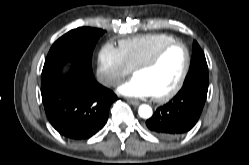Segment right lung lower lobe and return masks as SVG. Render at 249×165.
Here are the masks:
<instances>
[{
    "mask_svg": "<svg viewBox=\"0 0 249 165\" xmlns=\"http://www.w3.org/2000/svg\"><path fill=\"white\" fill-rule=\"evenodd\" d=\"M63 64H44L41 95L45 112L61 135L75 140L87 139L103 128L117 96L80 67L75 66L62 76Z\"/></svg>",
    "mask_w": 249,
    "mask_h": 165,
    "instance_id": "right-lung-lower-lobe-1",
    "label": "right lung lower lobe"
}]
</instances>
